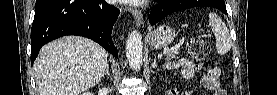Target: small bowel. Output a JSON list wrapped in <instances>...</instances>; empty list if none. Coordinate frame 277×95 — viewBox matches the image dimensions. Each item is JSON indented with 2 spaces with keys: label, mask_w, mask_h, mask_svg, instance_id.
I'll return each instance as SVG.
<instances>
[{
  "label": "small bowel",
  "mask_w": 277,
  "mask_h": 95,
  "mask_svg": "<svg viewBox=\"0 0 277 95\" xmlns=\"http://www.w3.org/2000/svg\"><path fill=\"white\" fill-rule=\"evenodd\" d=\"M174 67H180L181 68V74L184 78H192L196 75V64L194 61L189 59H181V60H175L171 63ZM204 83L207 87H210V89L214 92V95H225L224 89L221 87L219 82H213L212 83V76L207 73L203 76ZM166 94L168 95H177L178 92L176 89H172L168 91ZM185 94H193L192 90H188Z\"/></svg>",
  "instance_id": "obj_1"
}]
</instances>
